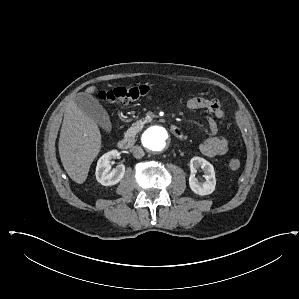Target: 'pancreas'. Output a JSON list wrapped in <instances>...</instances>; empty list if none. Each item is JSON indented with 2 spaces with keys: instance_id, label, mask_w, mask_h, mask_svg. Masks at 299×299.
<instances>
[{
  "instance_id": "cf45deb5",
  "label": "pancreas",
  "mask_w": 299,
  "mask_h": 299,
  "mask_svg": "<svg viewBox=\"0 0 299 299\" xmlns=\"http://www.w3.org/2000/svg\"><path fill=\"white\" fill-rule=\"evenodd\" d=\"M147 123V120H139L132 124V126L125 132V137H135V135L140 132L143 125Z\"/></svg>"
}]
</instances>
